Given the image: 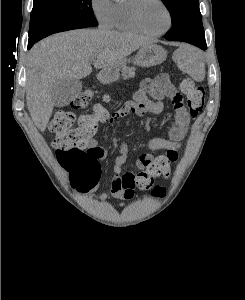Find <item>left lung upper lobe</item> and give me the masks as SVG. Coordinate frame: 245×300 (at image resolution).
I'll return each instance as SVG.
<instances>
[{
    "label": "left lung upper lobe",
    "instance_id": "obj_1",
    "mask_svg": "<svg viewBox=\"0 0 245 300\" xmlns=\"http://www.w3.org/2000/svg\"><path fill=\"white\" fill-rule=\"evenodd\" d=\"M170 12L172 29L164 38L186 37L204 32L198 0H162Z\"/></svg>",
    "mask_w": 245,
    "mask_h": 300
}]
</instances>
